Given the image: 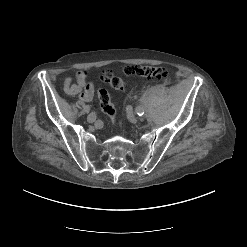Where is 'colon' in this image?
Here are the masks:
<instances>
[{
  "instance_id": "5ec220e1",
  "label": "colon",
  "mask_w": 247,
  "mask_h": 247,
  "mask_svg": "<svg viewBox=\"0 0 247 247\" xmlns=\"http://www.w3.org/2000/svg\"><path fill=\"white\" fill-rule=\"evenodd\" d=\"M123 72L128 76H139L149 81L164 82L168 79V71L161 66L149 65H133L127 66ZM104 81H106L113 89L119 92H126L125 82L118 76L114 75L109 69H105L102 73ZM99 103L102 111L110 118L112 123H116V109L113 106L109 93L101 89L98 93Z\"/></svg>"
}]
</instances>
